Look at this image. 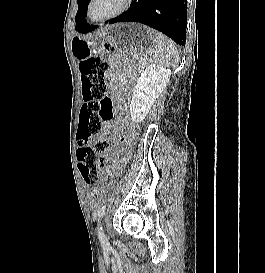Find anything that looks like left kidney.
I'll use <instances>...</instances> for the list:
<instances>
[{
    "label": "left kidney",
    "mask_w": 265,
    "mask_h": 273,
    "mask_svg": "<svg viewBox=\"0 0 265 273\" xmlns=\"http://www.w3.org/2000/svg\"><path fill=\"white\" fill-rule=\"evenodd\" d=\"M171 70L162 65H149L138 78L130 103L131 118L141 122L149 113L156 99L166 88Z\"/></svg>",
    "instance_id": "1"
}]
</instances>
